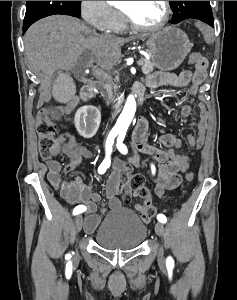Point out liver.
Masks as SVG:
<instances>
[{"mask_svg": "<svg viewBox=\"0 0 237 300\" xmlns=\"http://www.w3.org/2000/svg\"><path fill=\"white\" fill-rule=\"evenodd\" d=\"M133 37H101L80 19L67 15H52L34 23L25 37V53L33 71H42L46 87L45 97H50L47 81L54 71H73L81 55L89 51L102 69H112L121 57L124 43Z\"/></svg>", "mask_w": 237, "mask_h": 300, "instance_id": "obj_1", "label": "liver"}]
</instances>
